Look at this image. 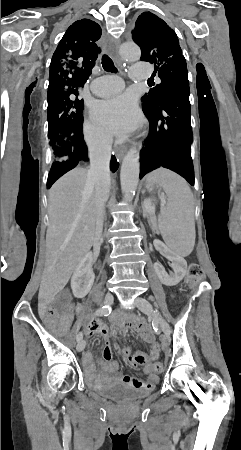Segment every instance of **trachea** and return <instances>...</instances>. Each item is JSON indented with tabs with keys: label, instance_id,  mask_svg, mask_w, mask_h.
Returning <instances> with one entry per match:
<instances>
[{
	"label": "trachea",
	"instance_id": "trachea-1",
	"mask_svg": "<svg viewBox=\"0 0 241 450\" xmlns=\"http://www.w3.org/2000/svg\"><path fill=\"white\" fill-rule=\"evenodd\" d=\"M102 66L106 72H114L117 73V69L114 65V62L111 60L108 55H103L102 57Z\"/></svg>",
	"mask_w": 241,
	"mask_h": 450
}]
</instances>
